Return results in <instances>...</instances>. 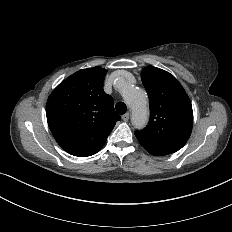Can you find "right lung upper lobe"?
Listing matches in <instances>:
<instances>
[{"label": "right lung upper lobe", "mask_w": 232, "mask_h": 232, "mask_svg": "<svg viewBox=\"0 0 232 232\" xmlns=\"http://www.w3.org/2000/svg\"><path fill=\"white\" fill-rule=\"evenodd\" d=\"M107 70L82 69L60 83L48 98L46 115L57 143L69 154L97 153L121 117L103 90Z\"/></svg>", "instance_id": "obj_1"}]
</instances>
